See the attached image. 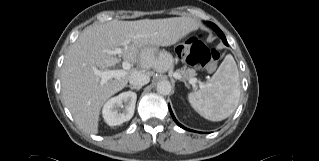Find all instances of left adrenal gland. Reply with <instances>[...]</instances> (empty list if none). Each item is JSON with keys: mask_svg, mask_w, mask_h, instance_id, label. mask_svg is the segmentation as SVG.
Listing matches in <instances>:
<instances>
[{"mask_svg": "<svg viewBox=\"0 0 319 161\" xmlns=\"http://www.w3.org/2000/svg\"><path fill=\"white\" fill-rule=\"evenodd\" d=\"M185 85H187L186 81H184Z\"/></svg>", "mask_w": 319, "mask_h": 161, "instance_id": "a2214340", "label": "left adrenal gland"}]
</instances>
